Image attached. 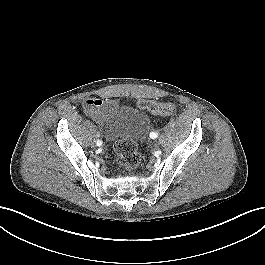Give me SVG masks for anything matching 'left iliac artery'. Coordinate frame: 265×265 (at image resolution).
<instances>
[{
	"mask_svg": "<svg viewBox=\"0 0 265 265\" xmlns=\"http://www.w3.org/2000/svg\"><path fill=\"white\" fill-rule=\"evenodd\" d=\"M150 137H151L152 139H155V138L158 137V133H157V132H151V133H150Z\"/></svg>",
	"mask_w": 265,
	"mask_h": 265,
	"instance_id": "left-iliac-artery-1",
	"label": "left iliac artery"
}]
</instances>
